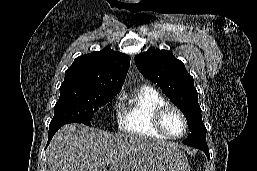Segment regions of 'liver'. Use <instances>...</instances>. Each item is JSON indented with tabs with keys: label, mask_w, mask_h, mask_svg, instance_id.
Here are the masks:
<instances>
[{
	"label": "liver",
	"mask_w": 257,
	"mask_h": 171,
	"mask_svg": "<svg viewBox=\"0 0 257 171\" xmlns=\"http://www.w3.org/2000/svg\"><path fill=\"white\" fill-rule=\"evenodd\" d=\"M174 144L111 134L83 124H67L54 135L47 152L49 171H135L145 154Z\"/></svg>",
	"instance_id": "liver-1"
}]
</instances>
